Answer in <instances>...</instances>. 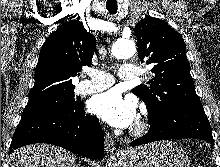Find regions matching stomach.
Segmentation results:
<instances>
[{"label": "stomach", "instance_id": "stomach-1", "mask_svg": "<svg viewBox=\"0 0 220 167\" xmlns=\"http://www.w3.org/2000/svg\"><path fill=\"white\" fill-rule=\"evenodd\" d=\"M119 163L122 167H190L184 150L170 141L128 149Z\"/></svg>", "mask_w": 220, "mask_h": 167}]
</instances>
